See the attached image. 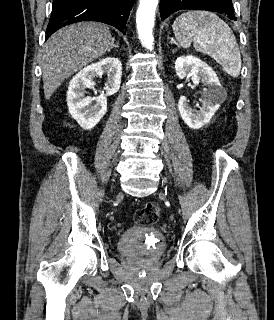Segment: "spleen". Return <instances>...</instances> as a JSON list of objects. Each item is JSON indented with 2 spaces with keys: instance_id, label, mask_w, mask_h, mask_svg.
<instances>
[{
  "instance_id": "obj_1",
  "label": "spleen",
  "mask_w": 274,
  "mask_h": 320,
  "mask_svg": "<svg viewBox=\"0 0 274 320\" xmlns=\"http://www.w3.org/2000/svg\"><path fill=\"white\" fill-rule=\"evenodd\" d=\"M172 28L183 48H190L193 42L195 50L214 58L229 76H240L242 60L236 38L216 14L191 10L178 16Z\"/></svg>"
}]
</instances>
